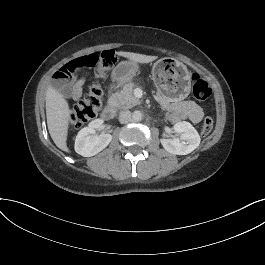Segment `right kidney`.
<instances>
[{
	"mask_svg": "<svg viewBox=\"0 0 265 265\" xmlns=\"http://www.w3.org/2000/svg\"><path fill=\"white\" fill-rule=\"evenodd\" d=\"M102 125V120L90 123L89 127L83 128L77 135L75 150L83 157H92L103 151L112 141V135L101 133L96 135V128Z\"/></svg>",
	"mask_w": 265,
	"mask_h": 265,
	"instance_id": "ca27d5eb",
	"label": "right kidney"
}]
</instances>
